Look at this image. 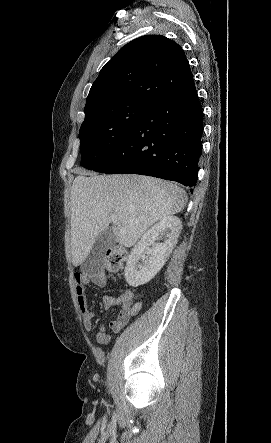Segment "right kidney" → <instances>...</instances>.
Listing matches in <instances>:
<instances>
[{"label":"right kidney","instance_id":"right-kidney-1","mask_svg":"<svg viewBox=\"0 0 271 443\" xmlns=\"http://www.w3.org/2000/svg\"><path fill=\"white\" fill-rule=\"evenodd\" d=\"M181 229L179 218L165 216L143 233L140 241L132 247L124 269L129 285L137 287V285L147 283L158 273L174 249ZM163 237L165 241L158 243L157 239H163ZM144 253L150 255L149 259H146Z\"/></svg>","mask_w":271,"mask_h":443}]
</instances>
